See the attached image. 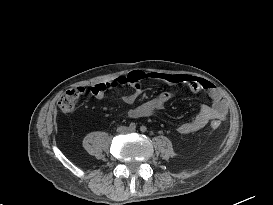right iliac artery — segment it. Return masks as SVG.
<instances>
[{"label":"right iliac artery","mask_w":273,"mask_h":205,"mask_svg":"<svg viewBox=\"0 0 273 205\" xmlns=\"http://www.w3.org/2000/svg\"><path fill=\"white\" fill-rule=\"evenodd\" d=\"M129 128L130 129H135L136 128V124L134 122L130 123Z\"/></svg>","instance_id":"obj_1"}]
</instances>
